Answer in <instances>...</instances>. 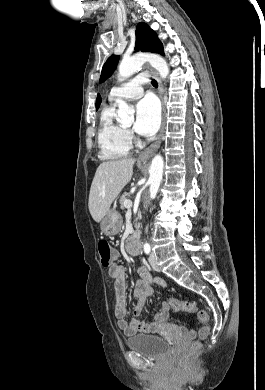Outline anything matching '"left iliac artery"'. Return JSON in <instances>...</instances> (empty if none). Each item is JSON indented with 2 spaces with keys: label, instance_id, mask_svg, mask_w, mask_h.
Segmentation results:
<instances>
[{
  "label": "left iliac artery",
  "instance_id": "44dca946",
  "mask_svg": "<svg viewBox=\"0 0 265 390\" xmlns=\"http://www.w3.org/2000/svg\"><path fill=\"white\" fill-rule=\"evenodd\" d=\"M150 250H151L150 245H149V244H145V245H144V251H145V253H146V254H149V253H150Z\"/></svg>",
  "mask_w": 265,
  "mask_h": 390
}]
</instances>
